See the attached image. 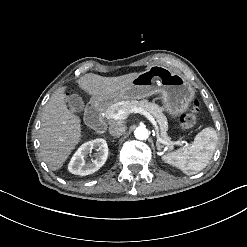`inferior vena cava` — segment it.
I'll return each instance as SVG.
<instances>
[{
  "instance_id": "obj_1",
  "label": "inferior vena cava",
  "mask_w": 247,
  "mask_h": 247,
  "mask_svg": "<svg viewBox=\"0 0 247 247\" xmlns=\"http://www.w3.org/2000/svg\"><path fill=\"white\" fill-rule=\"evenodd\" d=\"M127 130V126L122 122H113L109 127V133L112 136H121Z\"/></svg>"
}]
</instances>
